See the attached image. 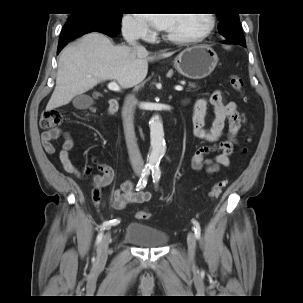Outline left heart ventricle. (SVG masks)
I'll use <instances>...</instances> for the list:
<instances>
[{
    "label": "left heart ventricle",
    "mask_w": 303,
    "mask_h": 303,
    "mask_svg": "<svg viewBox=\"0 0 303 303\" xmlns=\"http://www.w3.org/2000/svg\"><path fill=\"white\" fill-rule=\"evenodd\" d=\"M208 25L206 14H174L167 32L176 36H190L202 32Z\"/></svg>",
    "instance_id": "b2bd125f"
}]
</instances>
